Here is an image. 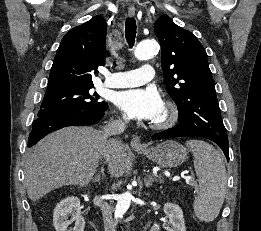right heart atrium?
Returning a JSON list of instances; mask_svg holds the SVG:
<instances>
[{
	"label": "right heart atrium",
	"instance_id": "right-heart-atrium-1",
	"mask_svg": "<svg viewBox=\"0 0 261 231\" xmlns=\"http://www.w3.org/2000/svg\"><path fill=\"white\" fill-rule=\"evenodd\" d=\"M121 119H122V121H126L127 120V116L123 115Z\"/></svg>",
	"mask_w": 261,
	"mask_h": 231
}]
</instances>
